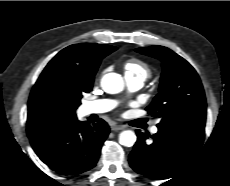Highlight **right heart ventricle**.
<instances>
[{
    "label": "right heart ventricle",
    "mask_w": 230,
    "mask_h": 186,
    "mask_svg": "<svg viewBox=\"0 0 230 186\" xmlns=\"http://www.w3.org/2000/svg\"><path fill=\"white\" fill-rule=\"evenodd\" d=\"M125 75L141 77L144 80L150 75L151 69L147 63L138 59H128L124 64Z\"/></svg>",
    "instance_id": "obj_1"
}]
</instances>
